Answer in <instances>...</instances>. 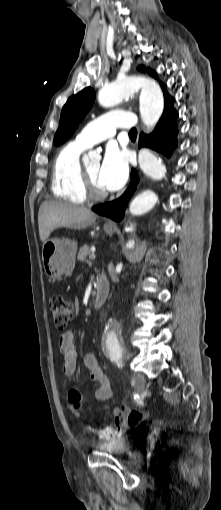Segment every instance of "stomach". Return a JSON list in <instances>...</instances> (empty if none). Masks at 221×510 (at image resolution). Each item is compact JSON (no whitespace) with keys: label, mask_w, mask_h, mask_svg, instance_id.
Returning a JSON list of instances; mask_svg holds the SVG:
<instances>
[{"label":"stomach","mask_w":221,"mask_h":510,"mask_svg":"<svg viewBox=\"0 0 221 510\" xmlns=\"http://www.w3.org/2000/svg\"><path fill=\"white\" fill-rule=\"evenodd\" d=\"M107 234L116 232V227H104ZM77 243L70 239H50L42 247L44 269L51 281L68 277L75 267Z\"/></svg>","instance_id":"stomach-1"}]
</instances>
